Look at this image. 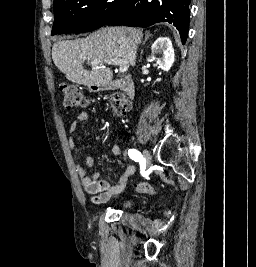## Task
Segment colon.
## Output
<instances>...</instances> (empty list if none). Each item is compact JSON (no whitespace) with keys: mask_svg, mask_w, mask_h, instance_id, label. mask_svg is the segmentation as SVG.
Wrapping results in <instances>:
<instances>
[{"mask_svg":"<svg viewBox=\"0 0 256 267\" xmlns=\"http://www.w3.org/2000/svg\"><path fill=\"white\" fill-rule=\"evenodd\" d=\"M60 91L65 108L75 110L84 108L87 105V99L76 86L62 85L60 86ZM113 108L118 114H123L129 109V103L123 98H118L114 101ZM137 190L149 194L153 193V187L148 183H139Z\"/></svg>","mask_w":256,"mask_h":267,"instance_id":"colon-1","label":"colon"}]
</instances>
